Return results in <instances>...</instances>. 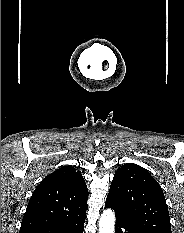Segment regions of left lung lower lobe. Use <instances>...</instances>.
<instances>
[{
    "label": "left lung lower lobe",
    "mask_w": 184,
    "mask_h": 233,
    "mask_svg": "<svg viewBox=\"0 0 184 233\" xmlns=\"http://www.w3.org/2000/svg\"><path fill=\"white\" fill-rule=\"evenodd\" d=\"M105 206L115 211V233H142L139 228L134 226L123 214L117 212L111 205L105 203Z\"/></svg>",
    "instance_id": "0a47b994"
}]
</instances>
